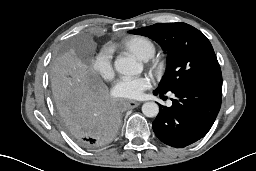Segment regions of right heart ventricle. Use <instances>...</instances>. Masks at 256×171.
<instances>
[{
	"instance_id": "1",
	"label": "right heart ventricle",
	"mask_w": 256,
	"mask_h": 171,
	"mask_svg": "<svg viewBox=\"0 0 256 171\" xmlns=\"http://www.w3.org/2000/svg\"><path fill=\"white\" fill-rule=\"evenodd\" d=\"M121 46L141 60L150 59L156 52L154 43L144 36H132L124 40Z\"/></svg>"
}]
</instances>
